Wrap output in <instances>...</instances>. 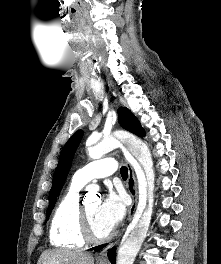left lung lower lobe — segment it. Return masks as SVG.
Masks as SVG:
<instances>
[{
  "label": "left lung lower lobe",
  "instance_id": "left-lung-lower-lobe-1",
  "mask_svg": "<svg viewBox=\"0 0 221 264\" xmlns=\"http://www.w3.org/2000/svg\"><path fill=\"white\" fill-rule=\"evenodd\" d=\"M105 246H106V244L100 245V246L92 248V250L98 251V250H101L102 248H104ZM115 257H116V249H115V247H113L108 253V258H109L111 264H115Z\"/></svg>",
  "mask_w": 221,
  "mask_h": 264
}]
</instances>
